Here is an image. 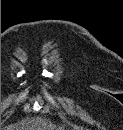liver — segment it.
Instances as JSON below:
<instances>
[{
	"label": "liver",
	"instance_id": "1",
	"mask_svg": "<svg viewBox=\"0 0 123 130\" xmlns=\"http://www.w3.org/2000/svg\"><path fill=\"white\" fill-rule=\"evenodd\" d=\"M9 128V130H49L47 121L40 118L25 119Z\"/></svg>",
	"mask_w": 123,
	"mask_h": 130
}]
</instances>
